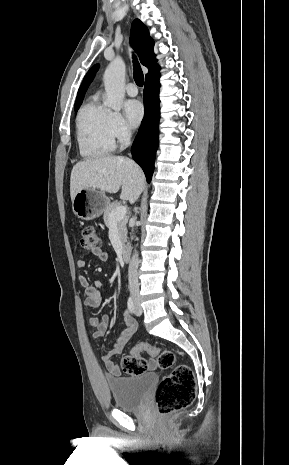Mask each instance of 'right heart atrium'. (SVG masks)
Instances as JSON below:
<instances>
[{"mask_svg": "<svg viewBox=\"0 0 289 465\" xmlns=\"http://www.w3.org/2000/svg\"><path fill=\"white\" fill-rule=\"evenodd\" d=\"M110 131L117 142L124 144L131 138L132 132L120 113L111 112L110 115Z\"/></svg>", "mask_w": 289, "mask_h": 465, "instance_id": "d8ad5b80", "label": "right heart atrium"}]
</instances>
